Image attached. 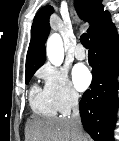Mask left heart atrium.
Returning <instances> with one entry per match:
<instances>
[{
	"label": "left heart atrium",
	"mask_w": 119,
	"mask_h": 141,
	"mask_svg": "<svg viewBox=\"0 0 119 141\" xmlns=\"http://www.w3.org/2000/svg\"><path fill=\"white\" fill-rule=\"evenodd\" d=\"M72 79L77 90L86 89L91 82V73L84 64H77L72 70Z\"/></svg>",
	"instance_id": "left-heart-atrium-1"
}]
</instances>
